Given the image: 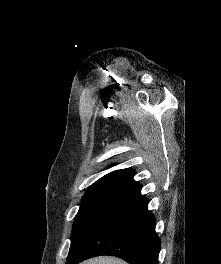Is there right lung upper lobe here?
<instances>
[{"label":"right lung upper lobe","instance_id":"1","mask_svg":"<svg viewBox=\"0 0 221 264\" xmlns=\"http://www.w3.org/2000/svg\"><path fill=\"white\" fill-rule=\"evenodd\" d=\"M135 171L132 169H122L113 171L92 184L87 191L96 189H128L135 184L136 181L133 180Z\"/></svg>","mask_w":221,"mask_h":264}]
</instances>
